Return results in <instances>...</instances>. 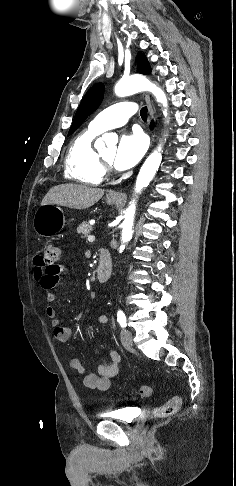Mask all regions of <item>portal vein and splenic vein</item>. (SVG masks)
<instances>
[{"instance_id":"1","label":"portal vein and splenic vein","mask_w":236,"mask_h":486,"mask_svg":"<svg viewBox=\"0 0 236 486\" xmlns=\"http://www.w3.org/2000/svg\"><path fill=\"white\" fill-rule=\"evenodd\" d=\"M87 240H88L89 242H93V241L95 240V236L90 235V236H88Z\"/></svg>"}]
</instances>
